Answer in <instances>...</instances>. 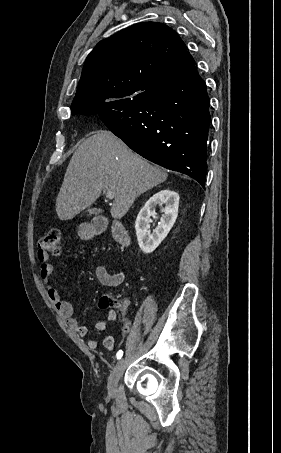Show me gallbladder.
I'll list each match as a JSON object with an SVG mask.
<instances>
[{"instance_id":"gallbladder-1","label":"gallbladder","mask_w":281,"mask_h":453,"mask_svg":"<svg viewBox=\"0 0 281 453\" xmlns=\"http://www.w3.org/2000/svg\"><path fill=\"white\" fill-rule=\"evenodd\" d=\"M88 212H90V214H98L101 210L100 208H89Z\"/></svg>"}]
</instances>
